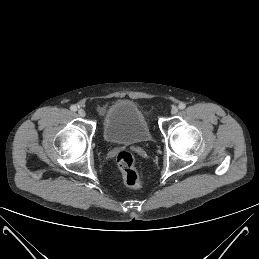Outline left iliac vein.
Wrapping results in <instances>:
<instances>
[{
  "instance_id": "4c4485c4",
  "label": "left iliac vein",
  "mask_w": 259,
  "mask_h": 259,
  "mask_svg": "<svg viewBox=\"0 0 259 259\" xmlns=\"http://www.w3.org/2000/svg\"><path fill=\"white\" fill-rule=\"evenodd\" d=\"M178 113V108L177 107H172V109H171V114L172 115H175V114H177Z\"/></svg>"
}]
</instances>
